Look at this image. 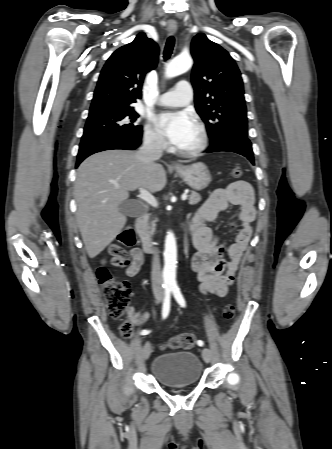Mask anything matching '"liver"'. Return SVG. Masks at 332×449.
<instances>
[{
  "instance_id": "1",
  "label": "liver",
  "mask_w": 332,
  "mask_h": 449,
  "mask_svg": "<svg viewBox=\"0 0 332 449\" xmlns=\"http://www.w3.org/2000/svg\"><path fill=\"white\" fill-rule=\"evenodd\" d=\"M166 181L162 165L144 164L136 152L109 150L84 160L77 170L74 195L88 256L100 254L125 226L127 218L119 207L130 191L143 188L155 193L165 187Z\"/></svg>"
}]
</instances>
